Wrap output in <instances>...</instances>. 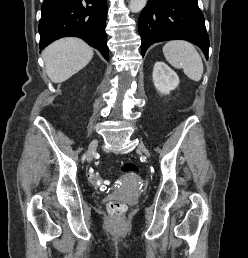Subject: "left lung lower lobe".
I'll return each instance as SVG.
<instances>
[{
  "mask_svg": "<svg viewBox=\"0 0 248 258\" xmlns=\"http://www.w3.org/2000/svg\"><path fill=\"white\" fill-rule=\"evenodd\" d=\"M138 28L142 56L153 43L183 39L200 47L208 58L209 37L197 0H148Z\"/></svg>",
  "mask_w": 248,
  "mask_h": 258,
  "instance_id": "0a47b994",
  "label": "left lung lower lobe"
}]
</instances>
